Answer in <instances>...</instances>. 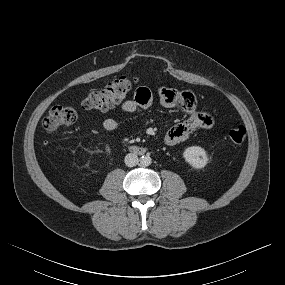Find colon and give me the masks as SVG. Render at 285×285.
I'll return each mask as SVG.
<instances>
[{"mask_svg": "<svg viewBox=\"0 0 285 285\" xmlns=\"http://www.w3.org/2000/svg\"><path fill=\"white\" fill-rule=\"evenodd\" d=\"M135 80L121 76L103 89L90 92L83 100L82 106L89 110H107L120 103L130 93ZM77 111L73 107L54 106L42 120V126L47 132H54L59 128L73 124L77 120ZM229 139L235 144H241L246 137L244 126H236L228 133Z\"/></svg>", "mask_w": 285, "mask_h": 285, "instance_id": "1", "label": "colon"}]
</instances>
